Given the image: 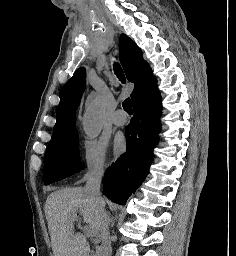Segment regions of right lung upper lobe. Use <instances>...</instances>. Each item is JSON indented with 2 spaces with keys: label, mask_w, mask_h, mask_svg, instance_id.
I'll return each mask as SVG.
<instances>
[{
  "label": "right lung upper lobe",
  "mask_w": 236,
  "mask_h": 256,
  "mask_svg": "<svg viewBox=\"0 0 236 256\" xmlns=\"http://www.w3.org/2000/svg\"><path fill=\"white\" fill-rule=\"evenodd\" d=\"M119 57L127 79L135 83L131 99L134 103L151 90L157 83L150 66L143 60L141 49L125 34L119 40ZM85 87V68H79L73 77L64 85L61 100L56 112L55 131L52 140L65 137L75 128L74 113L78 107Z\"/></svg>",
  "instance_id": "right-lung-upper-lobe-1"
}]
</instances>
